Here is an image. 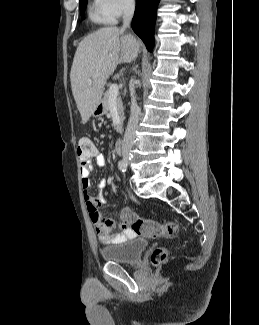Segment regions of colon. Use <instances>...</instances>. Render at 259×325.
Here are the masks:
<instances>
[{
	"label": "colon",
	"mask_w": 259,
	"mask_h": 325,
	"mask_svg": "<svg viewBox=\"0 0 259 325\" xmlns=\"http://www.w3.org/2000/svg\"><path fill=\"white\" fill-rule=\"evenodd\" d=\"M95 146L88 136H82L77 143V154L81 160L90 159L94 152ZM122 223L130 228L135 234L147 238H172L179 232V226L175 222L160 223L154 220L141 219L135 212L129 208H123L121 212ZM168 250L164 247H157L151 255V262L154 265L162 264L166 261Z\"/></svg>",
	"instance_id": "5ec220e1"
}]
</instances>
